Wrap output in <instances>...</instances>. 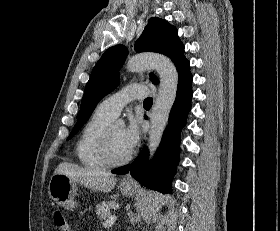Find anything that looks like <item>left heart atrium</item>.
Instances as JSON below:
<instances>
[{"mask_svg":"<svg viewBox=\"0 0 280 231\" xmlns=\"http://www.w3.org/2000/svg\"><path fill=\"white\" fill-rule=\"evenodd\" d=\"M140 140V129L137 121L132 120L122 128L120 143L126 153H131Z\"/></svg>","mask_w":280,"mask_h":231,"instance_id":"left-heart-atrium-1","label":"left heart atrium"}]
</instances>
